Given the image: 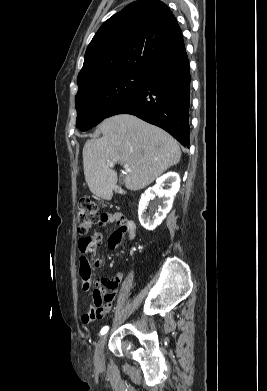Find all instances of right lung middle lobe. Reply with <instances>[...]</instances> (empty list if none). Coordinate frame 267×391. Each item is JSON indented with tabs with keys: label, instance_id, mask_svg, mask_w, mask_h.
Masks as SVG:
<instances>
[{
	"label": "right lung middle lobe",
	"instance_id": "right-lung-middle-lobe-1",
	"mask_svg": "<svg viewBox=\"0 0 267 391\" xmlns=\"http://www.w3.org/2000/svg\"><path fill=\"white\" fill-rule=\"evenodd\" d=\"M144 79L145 73L133 71L108 73L90 79L78 89L75 98L77 128L86 131L96 126L135 93Z\"/></svg>",
	"mask_w": 267,
	"mask_h": 391
}]
</instances>
